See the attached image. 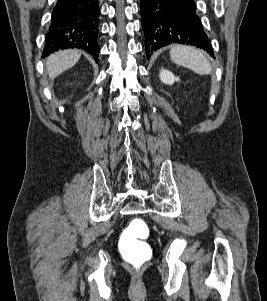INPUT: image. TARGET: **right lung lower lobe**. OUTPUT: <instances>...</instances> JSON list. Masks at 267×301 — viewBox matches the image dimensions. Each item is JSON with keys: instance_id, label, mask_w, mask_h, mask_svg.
I'll list each match as a JSON object with an SVG mask.
<instances>
[{"instance_id": "right-lung-lower-lobe-1", "label": "right lung lower lobe", "mask_w": 267, "mask_h": 301, "mask_svg": "<svg viewBox=\"0 0 267 301\" xmlns=\"http://www.w3.org/2000/svg\"><path fill=\"white\" fill-rule=\"evenodd\" d=\"M98 0H58L52 13L43 56L59 49L81 48L98 61Z\"/></svg>"}]
</instances>
